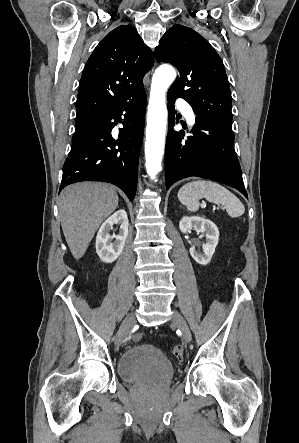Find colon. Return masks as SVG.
Masks as SVG:
<instances>
[{
    "instance_id": "1",
    "label": "colon",
    "mask_w": 299,
    "mask_h": 443,
    "mask_svg": "<svg viewBox=\"0 0 299 443\" xmlns=\"http://www.w3.org/2000/svg\"><path fill=\"white\" fill-rule=\"evenodd\" d=\"M172 353L175 357L181 358L184 354V349H183L182 345H180V344L175 345L172 349Z\"/></svg>"
}]
</instances>
